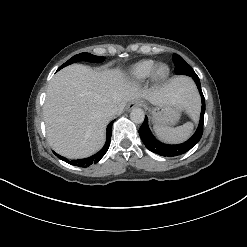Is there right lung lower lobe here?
Masks as SVG:
<instances>
[{
    "mask_svg": "<svg viewBox=\"0 0 247 247\" xmlns=\"http://www.w3.org/2000/svg\"><path fill=\"white\" fill-rule=\"evenodd\" d=\"M112 124L113 121L107 126V138H106V143L104 147L95 155L85 158V159H79V160H67L65 157H62L54 152V154L60 158L63 161H67L71 165H76L79 167H87L90 166L93 163H97L107 152L109 146H110V141H111V135H112Z\"/></svg>",
    "mask_w": 247,
    "mask_h": 247,
    "instance_id": "98d812e1",
    "label": "right lung lower lobe"
}]
</instances>
